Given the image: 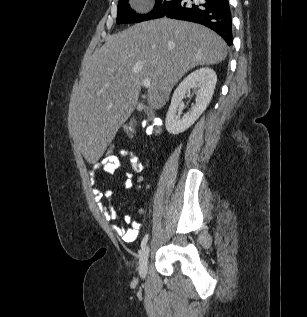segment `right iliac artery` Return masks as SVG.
<instances>
[{
	"instance_id": "1",
	"label": "right iliac artery",
	"mask_w": 307,
	"mask_h": 317,
	"mask_svg": "<svg viewBox=\"0 0 307 317\" xmlns=\"http://www.w3.org/2000/svg\"><path fill=\"white\" fill-rule=\"evenodd\" d=\"M148 238H149V235L146 234V235L144 236V238L142 239V241H141V248H144V247H145V245L147 244Z\"/></svg>"
}]
</instances>
